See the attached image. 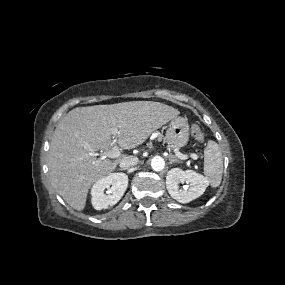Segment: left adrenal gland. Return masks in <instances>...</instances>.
Masks as SVG:
<instances>
[{
    "label": "left adrenal gland",
    "mask_w": 285,
    "mask_h": 285,
    "mask_svg": "<svg viewBox=\"0 0 285 285\" xmlns=\"http://www.w3.org/2000/svg\"><path fill=\"white\" fill-rule=\"evenodd\" d=\"M168 157H169V164L180 163V161L174 155H169Z\"/></svg>",
    "instance_id": "left-adrenal-gland-1"
}]
</instances>
